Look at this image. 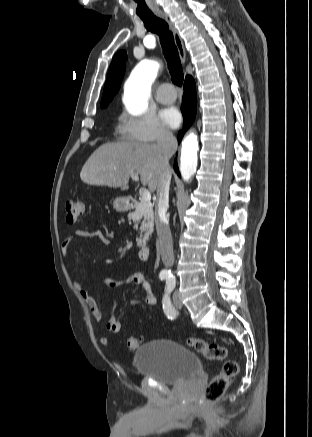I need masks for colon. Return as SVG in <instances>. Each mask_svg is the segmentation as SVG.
Wrapping results in <instances>:
<instances>
[{"mask_svg":"<svg viewBox=\"0 0 312 437\" xmlns=\"http://www.w3.org/2000/svg\"><path fill=\"white\" fill-rule=\"evenodd\" d=\"M64 208L66 222L68 224H74L83 215L85 206L81 200L68 198L65 201ZM142 342V338L130 336L127 338L126 344L128 349L135 350L142 344ZM185 342L209 361L225 360L221 372L212 378V380L207 384L201 397L204 402L217 400L224 394L229 383L237 377L239 373L238 362L232 359H227L228 351L223 345L193 337L186 338Z\"/></svg>","mask_w":312,"mask_h":437,"instance_id":"1","label":"colon"}]
</instances>
